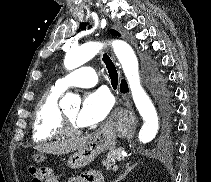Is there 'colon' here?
<instances>
[{
  "label": "colon",
  "instance_id": "colon-1",
  "mask_svg": "<svg viewBox=\"0 0 211 182\" xmlns=\"http://www.w3.org/2000/svg\"><path fill=\"white\" fill-rule=\"evenodd\" d=\"M30 172L38 182H56L55 174L51 168L32 167Z\"/></svg>",
  "mask_w": 211,
  "mask_h": 182
}]
</instances>
